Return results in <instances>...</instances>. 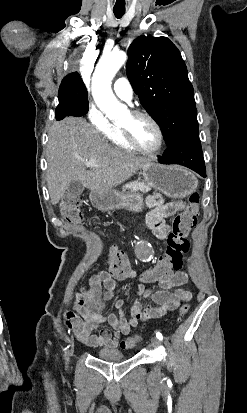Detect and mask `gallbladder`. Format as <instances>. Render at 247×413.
I'll use <instances>...</instances> for the list:
<instances>
[{
	"label": "gallbladder",
	"mask_w": 247,
	"mask_h": 413,
	"mask_svg": "<svg viewBox=\"0 0 247 413\" xmlns=\"http://www.w3.org/2000/svg\"><path fill=\"white\" fill-rule=\"evenodd\" d=\"M67 190L69 196H79L83 192L84 186L80 180H74V182H70Z\"/></svg>",
	"instance_id": "obj_1"
}]
</instances>
